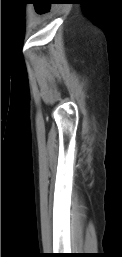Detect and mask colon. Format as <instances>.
Here are the masks:
<instances>
[{"label":"colon","instance_id":"colon-1","mask_svg":"<svg viewBox=\"0 0 122 257\" xmlns=\"http://www.w3.org/2000/svg\"><path fill=\"white\" fill-rule=\"evenodd\" d=\"M36 10H51V5H36Z\"/></svg>","mask_w":122,"mask_h":257}]
</instances>
